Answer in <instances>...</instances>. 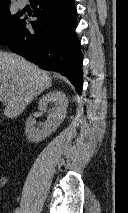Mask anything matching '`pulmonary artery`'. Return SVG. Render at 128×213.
<instances>
[{
    "instance_id": "pulmonary-artery-1",
    "label": "pulmonary artery",
    "mask_w": 128,
    "mask_h": 213,
    "mask_svg": "<svg viewBox=\"0 0 128 213\" xmlns=\"http://www.w3.org/2000/svg\"><path fill=\"white\" fill-rule=\"evenodd\" d=\"M17 4L20 8H24L27 6V0H17Z\"/></svg>"
}]
</instances>
